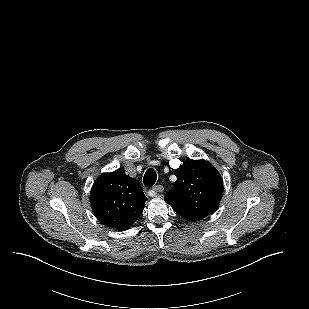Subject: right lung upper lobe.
Listing matches in <instances>:
<instances>
[{
	"label": "right lung upper lobe",
	"mask_w": 309,
	"mask_h": 309,
	"mask_svg": "<svg viewBox=\"0 0 309 309\" xmlns=\"http://www.w3.org/2000/svg\"><path fill=\"white\" fill-rule=\"evenodd\" d=\"M90 200L98 220L108 227L126 230L141 215L147 197L140 183L123 169L101 174L94 182Z\"/></svg>",
	"instance_id": "obj_1"
}]
</instances>
